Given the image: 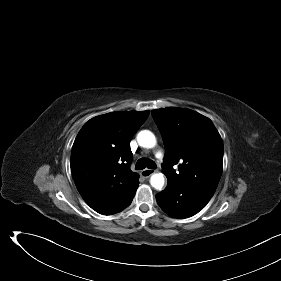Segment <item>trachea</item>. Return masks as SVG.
I'll list each match as a JSON object with an SVG mask.
<instances>
[{
    "label": "trachea",
    "mask_w": 281,
    "mask_h": 281,
    "mask_svg": "<svg viewBox=\"0 0 281 281\" xmlns=\"http://www.w3.org/2000/svg\"><path fill=\"white\" fill-rule=\"evenodd\" d=\"M146 167L149 169H155L156 163L154 161H152L151 159H145V158H141L137 161V163H136L137 170H142V169H145Z\"/></svg>",
    "instance_id": "obj_1"
}]
</instances>
